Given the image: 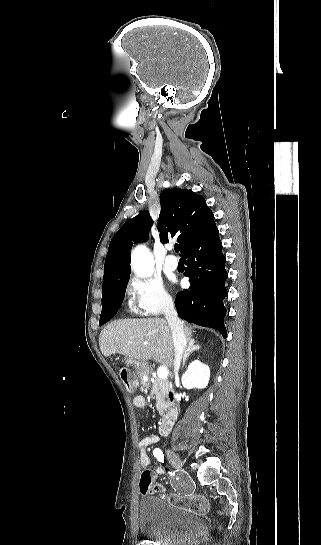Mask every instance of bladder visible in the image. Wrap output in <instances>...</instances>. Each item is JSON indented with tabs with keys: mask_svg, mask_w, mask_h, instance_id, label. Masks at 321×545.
<instances>
[{
	"mask_svg": "<svg viewBox=\"0 0 321 545\" xmlns=\"http://www.w3.org/2000/svg\"><path fill=\"white\" fill-rule=\"evenodd\" d=\"M138 527L147 539L159 545H191L203 531L200 515L176 506L160 494L141 498Z\"/></svg>",
	"mask_w": 321,
	"mask_h": 545,
	"instance_id": "obj_1",
	"label": "bladder"
}]
</instances>
